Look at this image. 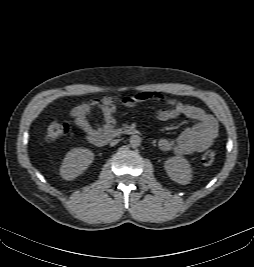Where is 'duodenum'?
I'll list each match as a JSON object with an SVG mask.
<instances>
[{
    "mask_svg": "<svg viewBox=\"0 0 254 267\" xmlns=\"http://www.w3.org/2000/svg\"><path fill=\"white\" fill-rule=\"evenodd\" d=\"M137 133V130L134 128H122L117 130H108L100 133H96L89 136V141L97 147H102L107 144V142L120 135H134Z\"/></svg>",
    "mask_w": 254,
    "mask_h": 267,
    "instance_id": "1",
    "label": "duodenum"
}]
</instances>
